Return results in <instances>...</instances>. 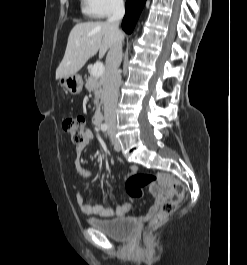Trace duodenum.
Segmentation results:
<instances>
[{
  "instance_id": "duodenum-1",
  "label": "duodenum",
  "mask_w": 247,
  "mask_h": 265,
  "mask_svg": "<svg viewBox=\"0 0 247 265\" xmlns=\"http://www.w3.org/2000/svg\"><path fill=\"white\" fill-rule=\"evenodd\" d=\"M95 125L97 128H100L102 126V116L101 115L96 116Z\"/></svg>"
}]
</instances>
